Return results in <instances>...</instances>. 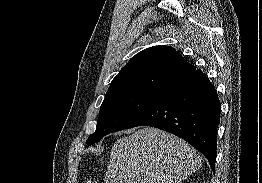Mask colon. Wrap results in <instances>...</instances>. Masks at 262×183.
Masks as SVG:
<instances>
[{
    "mask_svg": "<svg viewBox=\"0 0 262 183\" xmlns=\"http://www.w3.org/2000/svg\"><path fill=\"white\" fill-rule=\"evenodd\" d=\"M84 183H98V181L88 178L84 181Z\"/></svg>",
    "mask_w": 262,
    "mask_h": 183,
    "instance_id": "5ec220e1",
    "label": "colon"
}]
</instances>
